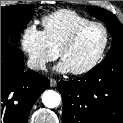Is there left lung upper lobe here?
Listing matches in <instances>:
<instances>
[{"label": "left lung upper lobe", "mask_w": 123, "mask_h": 123, "mask_svg": "<svg viewBox=\"0 0 123 123\" xmlns=\"http://www.w3.org/2000/svg\"><path fill=\"white\" fill-rule=\"evenodd\" d=\"M87 12L96 17L98 20L104 21L107 24V29L112 36V45L107 57H112L116 54L123 53V25L119 22L111 12L96 7H87Z\"/></svg>", "instance_id": "obj_1"}]
</instances>
